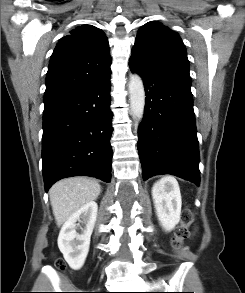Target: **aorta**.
I'll return each mask as SVG.
<instances>
[{"label": "aorta", "mask_w": 245, "mask_h": 293, "mask_svg": "<svg viewBox=\"0 0 245 293\" xmlns=\"http://www.w3.org/2000/svg\"><path fill=\"white\" fill-rule=\"evenodd\" d=\"M128 89L131 112L136 118L142 119L145 107V90L139 75H130Z\"/></svg>", "instance_id": "aorta-1"}]
</instances>
